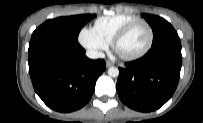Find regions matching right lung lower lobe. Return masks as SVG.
<instances>
[{
	"mask_svg": "<svg viewBox=\"0 0 203 123\" xmlns=\"http://www.w3.org/2000/svg\"><path fill=\"white\" fill-rule=\"evenodd\" d=\"M28 64L35 92L48 107L59 112L83 107L106 68L104 60L88 59L78 42L49 35L31 38Z\"/></svg>",
	"mask_w": 203,
	"mask_h": 123,
	"instance_id": "right-lung-lower-lobe-1",
	"label": "right lung lower lobe"
}]
</instances>
